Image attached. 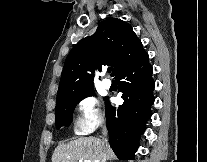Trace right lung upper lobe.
Segmentation results:
<instances>
[{"instance_id":"obj_1","label":"right lung upper lobe","mask_w":207,"mask_h":162,"mask_svg":"<svg viewBox=\"0 0 207 162\" xmlns=\"http://www.w3.org/2000/svg\"><path fill=\"white\" fill-rule=\"evenodd\" d=\"M146 54L132 27L117 18L102 21L95 34L79 41L66 58L57 99L93 90V73L102 64L113 75Z\"/></svg>"}]
</instances>
